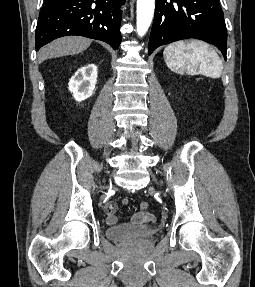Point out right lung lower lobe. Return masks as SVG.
<instances>
[{
	"mask_svg": "<svg viewBox=\"0 0 255 287\" xmlns=\"http://www.w3.org/2000/svg\"><path fill=\"white\" fill-rule=\"evenodd\" d=\"M125 0H48L36 27V50L68 35L101 40L118 49L121 43L120 7Z\"/></svg>",
	"mask_w": 255,
	"mask_h": 287,
	"instance_id": "obj_1",
	"label": "right lung lower lobe"
}]
</instances>
